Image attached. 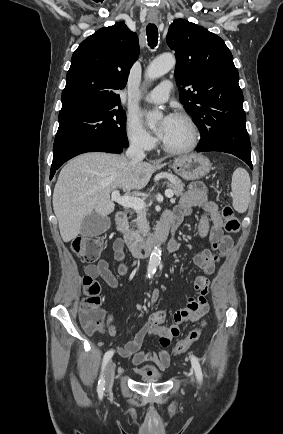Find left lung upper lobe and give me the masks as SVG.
Returning a JSON list of instances; mask_svg holds the SVG:
<instances>
[{"label": "left lung upper lobe", "mask_w": 283, "mask_h": 434, "mask_svg": "<svg viewBox=\"0 0 283 434\" xmlns=\"http://www.w3.org/2000/svg\"><path fill=\"white\" fill-rule=\"evenodd\" d=\"M166 41L175 51L180 101L200 131V147L251 156L239 74L224 41L184 19L170 25Z\"/></svg>", "instance_id": "5c2ea615"}]
</instances>
